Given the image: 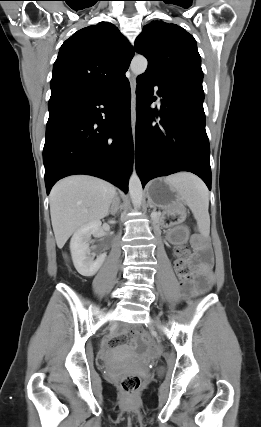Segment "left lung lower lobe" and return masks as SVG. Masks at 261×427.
<instances>
[{"label":"left lung lower lobe","mask_w":261,"mask_h":427,"mask_svg":"<svg viewBox=\"0 0 261 427\" xmlns=\"http://www.w3.org/2000/svg\"><path fill=\"white\" fill-rule=\"evenodd\" d=\"M159 86L160 111L150 109ZM136 167L142 186L179 171L198 175L211 190L210 146L205 130L204 92L160 85L140 76L136 88ZM161 117L159 122L154 117Z\"/></svg>","instance_id":"1"}]
</instances>
